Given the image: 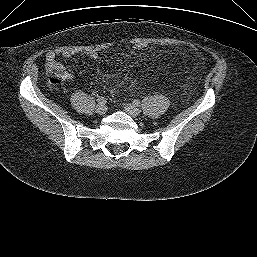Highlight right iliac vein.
<instances>
[{"instance_id":"obj_1","label":"right iliac vein","mask_w":257,"mask_h":257,"mask_svg":"<svg viewBox=\"0 0 257 257\" xmlns=\"http://www.w3.org/2000/svg\"><path fill=\"white\" fill-rule=\"evenodd\" d=\"M95 111L97 114H100V115H103L106 113L107 111V107L104 103H99L96 108H95Z\"/></svg>"}]
</instances>
